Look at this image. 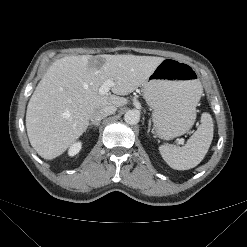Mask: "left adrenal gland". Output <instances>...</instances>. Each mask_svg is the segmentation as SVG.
<instances>
[{"label": "left adrenal gland", "mask_w": 247, "mask_h": 247, "mask_svg": "<svg viewBox=\"0 0 247 247\" xmlns=\"http://www.w3.org/2000/svg\"><path fill=\"white\" fill-rule=\"evenodd\" d=\"M151 121H149L148 132L150 131Z\"/></svg>", "instance_id": "left-adrenal-gland-1"}]
</instances>
